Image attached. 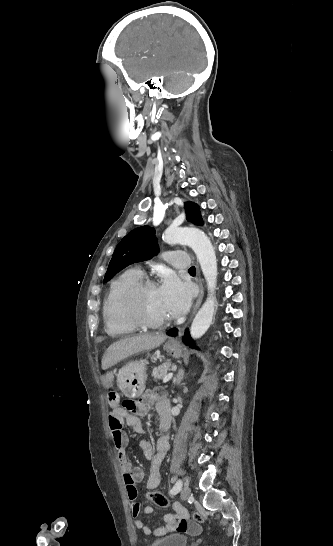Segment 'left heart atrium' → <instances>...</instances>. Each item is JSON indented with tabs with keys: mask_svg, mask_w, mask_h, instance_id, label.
Segmentation results:
<instances>
[{
	"mask_svg": "<svg viewBox=\"0 0 333 546\" xmlns=\"http://www.w3.org/2000/svg\"><path fill=\"white\" fill-rule=\"evenodd\" d=\"M158 292L168 317H178L188 310L191 302L190 288L174 274L164 275Z\"/></svg>",
	"mask_w": 333,
	"mask_h": 546,
	"instance_id": "obj_1",
	"label": "left heart atrium"
}]
</instances>
